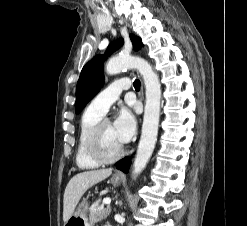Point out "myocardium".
Here are the masks:
<instances>
[{
  "label": "myocardium",
  "instance_id": "1",
  "mask_svg": "<svg viewBox=\"0 0 247 226\" xmlns=\"http://www.w3.org/2000/svg\"><path fill=\"white\" fill-rule=\"evenodd\" d=\"M109 121H99L90 131L86 140V150L89 157L99 164H110L119 160L125 153V148L122 146L121 149L113 156H105L100 149V136L101 132Z\"/></svg>",
  "mask_w": 247,
  "mask_h": 226
}]
</instances>
